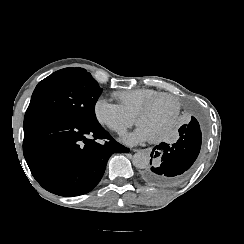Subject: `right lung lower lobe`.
<instances>
[{"mask_svg":"<svg viewBox=\"0 0 244 244\" xmlns=\"http://www.w3.org/2000/svg\"><path fill=\"white\" fill-rule=\"evenodd\" d=\"M98 139L109 141L102 145ZM115 152L129 149L99 123L83 124L51 112L25 114L24 157L38 183L54 194L77 196L91 191Z\"/></svg>","mask_w":244,"mask_h":244,"instance_id":"98d812e1","label":"right lung lower lobe"}]
</instances>
